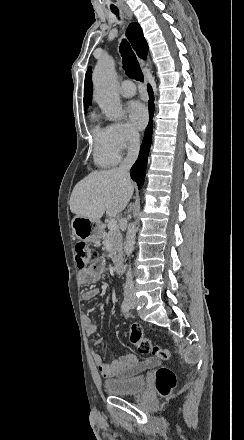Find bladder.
<instances>
[{"label": "bladder", "instance_id": "31cf9c89", "mask_svg": "<svg viewBox=\"0 0 244 440\" xmlns=\"http://www.w3.org/2000/svg\"><path fill=\"white\" fill-rule=\"evenodd\" d=\"M106 392L112 395H130L145 389L144 377L104 382Z\"/></svg>", "mask_w": 244, "mask_h": 440}]
</instances>
